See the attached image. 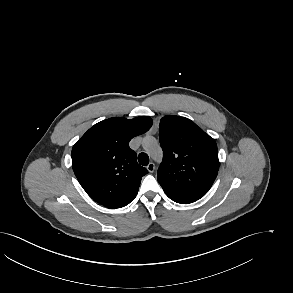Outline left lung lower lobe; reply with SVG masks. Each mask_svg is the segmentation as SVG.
<instances>
[{"mask_svg":"<svg viewBox=\"0 0 293 293\" xmlns=\"http://www.w3.org/2000/svg\"><path fill=\"white\" fill-rule=\"evenodd\" d=\"M170 199H172L173 201L177 202V203H181V204H189L194 202L195 200L192 199H188V198H174V197H169Z\"/></svg>","mask_w":293,"mask_h":293,"instance_id":"1","label":"left lung lower lobe"}]
</instances>
